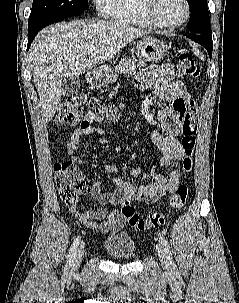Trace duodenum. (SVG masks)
<instances>
[{"mask_svg":"<svg viewBox=\"0 0 239 303\" xmlns=\"http://www.w3.org/2000/svg\"><path fill=\"white\" fill-rule=\"evenodd\" d=\"M88 78H89V80L92 81L95 78V75L94 74H89Z\"/></svg>","mask_w":239,"mask_h":303,"instance_id":"410a0bca","label":"duodenum"}]
</instances>
